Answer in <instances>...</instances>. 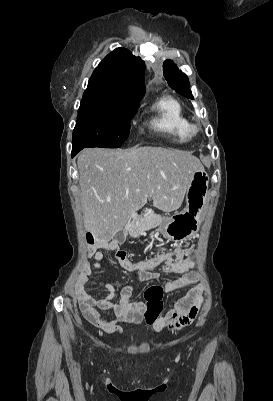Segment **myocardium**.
<instances>
[{"instance_id": "myocardium-1", "label": "myocardium", "mask_w": 273, "mask_h": 401, "mask_svg": "<svg viewBox=\"0 0 273 401\" xmlns=\"http://www.w3.org/2000/svg\"><path fill=\"white\" fill-rule=\"evenodd\" d=\"M202 134V126L199 122H190L187 127V135L189 139L195 140L200 138Z\"/></svg>"}]
</instances>
